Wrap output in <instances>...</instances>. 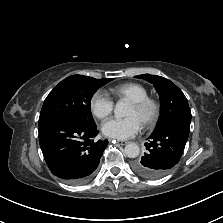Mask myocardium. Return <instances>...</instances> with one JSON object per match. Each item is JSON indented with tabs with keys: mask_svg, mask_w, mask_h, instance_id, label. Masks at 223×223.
<instances>
[{
	"mask_svg": "<svg viewBox=\"0 0 223 223\" xmlns=\"http://www.w3.org/2000/svg\"><path fill=\"white\" fill-rule=\"evenodd\" d=\"M131 104L143 114L141 124L144 127L153 126L159 119L161 103L154 97H144L140 100L131 101Z\"/></svg>",
	"mask_w": 223,
	"mask_h": 223,
	"instance_id": "f54148a6",
	"label": "myocardium"
}]
</instances>
